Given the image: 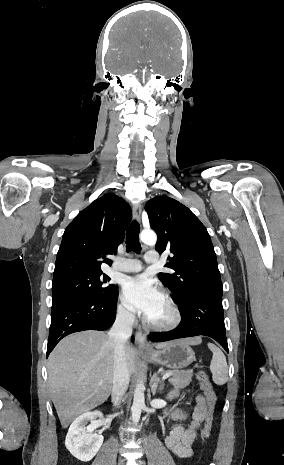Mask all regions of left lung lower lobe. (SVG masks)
<instances>
[{
    "mask_svg": "<svg viewBox=\"0 0 284 465\" xmlns=\"http://www.w3.org/2000/svg\"><path fill=\"white\" fill-rule=\"evenodd\" d=\"M177 302L181 306L180 325L170 332L151 333L149 339L152 342L204 335L215 339L229 352L221 296L195 293Z\"/></svg>",
    "mask_w": 284,
    "mask_h": 465,
    "instance_id": "obj_1",
    "label": "left lung lower lobe"
}]
</instances>
